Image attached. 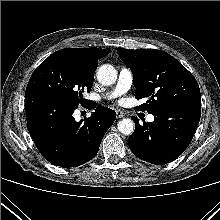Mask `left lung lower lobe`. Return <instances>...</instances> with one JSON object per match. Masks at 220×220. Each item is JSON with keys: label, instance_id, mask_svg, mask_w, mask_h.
<instances>
[{"label": "left lung lower lobe", "instance_id": "0a47b994", "mask_svg": "<svg viewBox=\"0 0 220 220\" xmlns=\"http://www.w3.org/2000/svg\"><path fill=\"white\" fill-rule=\"evenodd\" d=\"M154 121L139 124L128 138L130 150L138 158L161 165L178 158L190 144L199 124L201 103H183L163 107L152 113Z\"/></svg>", "mask_w": 220, "mask_h": 220}]
</instances>
